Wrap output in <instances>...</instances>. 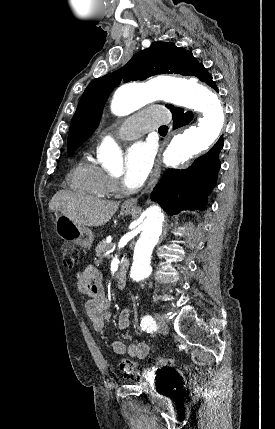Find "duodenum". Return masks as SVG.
<instances>
[{
  "mask_svg": "<svg viewBox=\"0 0 275 429\" xmlns=\"http://www.w3.org/2000/svg\"><path fill=\"white\" fill-rule=\"evenodd\" d=\"M127 265L123 262L117 272L116 284L118 289H123L126 285Z\"/></svg>",
  "mask_w": 275,
  "mask_h": 429,
  "instance_id": "duodenum-1",
  "label": "duodenum"
}]
</instances>
